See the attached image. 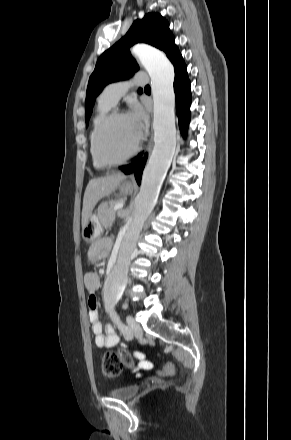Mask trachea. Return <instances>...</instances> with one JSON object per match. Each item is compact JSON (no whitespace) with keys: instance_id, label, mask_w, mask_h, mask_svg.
<instances>
[{"instance_id":"obj_1","label":"trachea","mask_w":291,"mask_h":440,"mask_svg":"<svg viewBox=\"0 0 291 440\" xmlns=\"http://www.w3.org/2000/svg\"><path fill=\"white\" fill-rule=\"evenodd\" d=\"M145 88H148V89H150V86L149 85H147Z\"/></svg>"}]
</instances>
